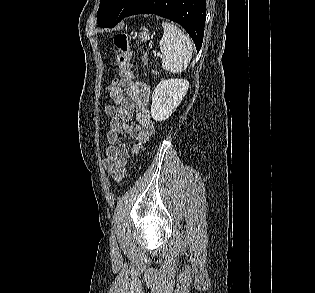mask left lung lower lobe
<instances>
[{"label": "left lung lower lobe", "mask_w": 315, "mask_h": 293, "mask_svg": "<svg viewBox=\"0 0 315 293\" xmlns=\"http://www.w3.org/2000/svg\"><path fill=\"white\" fill-rule=\"evenodd\" d=\"M156 14L180 24L193 39L197 51L203 42L205 0H141L127 16Z\"/></svg>", "instance_id": "0a47b994"}]
</instances>
